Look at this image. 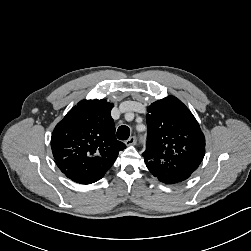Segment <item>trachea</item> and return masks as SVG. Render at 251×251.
Wrapping results in <instances>:
<instances>
[{
    "mask_svg": "<svg viewBox=\"0 0 251 251\" xmlns=\"http://www.w3.org/2000/svg\"><path fill=\"white\" fill-rule=\"evenodd\" d=\"M130 136V129L129 127L123 125L120 126L117 130V138L119 140H127Z\"/></svg>",
    "mask_w": 251,
    "mask_h": 251,
    "instance_id": "1",
    "label": "trachea"
}]
</instances>
